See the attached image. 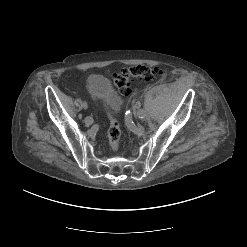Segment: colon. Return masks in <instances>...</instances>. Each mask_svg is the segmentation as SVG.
<instances>
[{
	"mask_svg": "<svg viewBox=\"0 0 247 247\" xmlns=\"http://www.w3.org/2000/svg\"><path fill=\"white\" fill-rule=\"evenodd\" d=\"M161 76L162 70L157 67L136 65L120 68L117 72L112 74V82L122 95L128 96L131 93L133 80L152 81ZM120 136L121 130L118 120L112 115L110 117V126L108 129V143L113 152H117L119 149Z\"/></svg>",
	"mask_w": 247,
	"mask_h": 247,
	"instance_id": "obj_1",
	"label": "colon"
}]
</instances>
